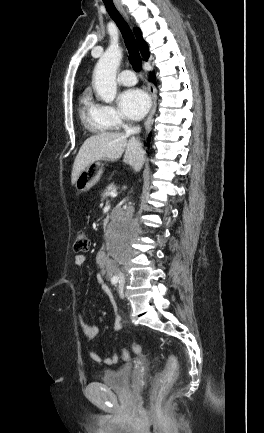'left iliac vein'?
Segmentation results:
<instances>
[{
  "mask_svg": "<svg viewBox=\"0 0 264 433\" xmlns=\"http://www.w3.org/2000/svg\"><path fill=\"white\" fill-rule=\"evenodd\" d=\"M124 285H125V280L121 279L120 282H119V286H118V292H119V295H120L121 298L124 297V291H123L124 290Z\"/></svg>",
  "mask_w": 264,
  "mask_h": 433,
  "instance_id": "1",
  "label": "left iliac vein"
}]
</instances>
